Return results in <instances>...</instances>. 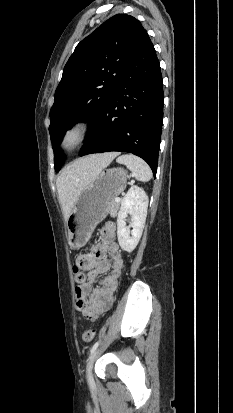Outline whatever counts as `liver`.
<instances>
[{"label":"liver","instance_id":"liver-1","mask_svg":"<svg viewBox=\"0 0 233 413\" xmlns=\"http://www.w3.org/2000/svg\"><path fill=\"white\" fill-rule=\"evenodd\" d=\"M118 155L117 152L97 154L74 161L62 170L56 186L64 219L67 221L83 189Z\"/></svg>","mask_w":233,"mask_h":413}]
</instances>
